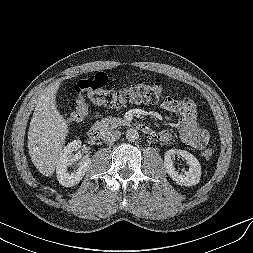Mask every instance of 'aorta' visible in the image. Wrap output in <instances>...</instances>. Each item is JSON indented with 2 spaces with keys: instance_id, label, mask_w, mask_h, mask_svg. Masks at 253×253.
Here are the masks:
<instances>
[{
  "instance_id": "1",
  "label": "aorta",
  "mask_w": 253,
  "mask_h": 253,
  "mask_svg": "<svg viewBox=\"0 0 253 253\" xmlns=\"http://www.w3.org/2000/svg\"><path fill=\"white\" fill-rule=\"evenodd\" d=\"M139 138V133L136 129L134 128H129L126 131V139L128 141L134 142Z\"/></svg>"
}]
</instances>
